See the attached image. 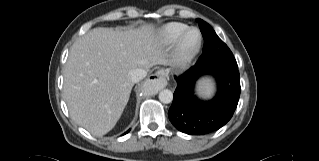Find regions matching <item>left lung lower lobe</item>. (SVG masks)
Instances as JSON below:
<instances>
[{
  "label": "left lung lower lobe",
  "mask_w": 319,
  "mask_h": 161,
  "mask_svg": "<svg viewBox=\"0 0 319 161\" xmlns=\"http://www.w3.org/2000/svg\"><path fill=\"white\" fill-rule=\"evenodd\" d=\"M205 74L215 77L218 90L210 101L194 95L196 80ZM177 88L168 111L171 123L189 135H204L224 126L233 116L240 97V75L237 64H195L180 76H175Z\"/></svg>",
  "instance_id": "0a47b994"
}]
</instances>
